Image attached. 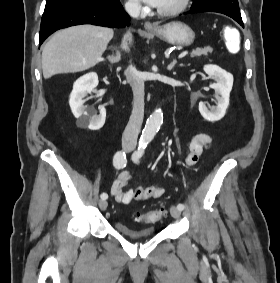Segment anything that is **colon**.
Wrapping results in <instances>:
<instances>
[{
  "label": "colon",
  "mask_w": 280,
  "mask_h": 283,
  "mask_svg": "<svg viewBox=\"0 0 280 283\" xmlns=\"http://www.w3.org/2000/svg\"><path fill=\"white\" fill-rule=\"evenodd\" d=\"M224 42L227 43L226 50L231 55H238L241 51V38L243 32H239V25H224ZM164 214V209L148 211L145 213H137V219L145 223H152L159 220Z\"/></svg>",
  "instance_id": "obj_1"
}]
</instances>
